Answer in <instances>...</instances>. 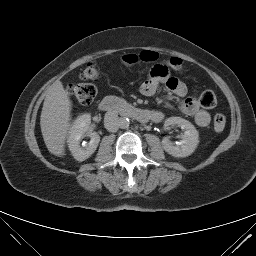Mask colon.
<instances>
[{"mask_svg": "<svg viewBox=\"0 0 256 256\" xmlns=\"http://www.w3.org/2000/svg\"><path fill=\"white\" fill-rule=\"evenodd\" d=\"M158 58L157 53L153 51H143L139 55L137 54H127L122 57V62L124 64H135L139 61L150 62L155 61ZM166 64L175 69L180 70L183 66L182 60L176 57L169 59ZM80 77L83 81H94L100 77V71L95 62H89L86 64L84 69L81 71ZM69 94L79 103L83 105H88L94 101L98 94V88L91 83H75L69 86ZM199 102L202 107L207 109H213L217 105V98L214 92L204 91L200 97ZM226 126V117L218 113L214 116V129L216 132H221Z\"/></svg>", "mask_w": 256, "mask_h": 256, "instance_id": "obj_1", "label": "colon"}]
</instances>
